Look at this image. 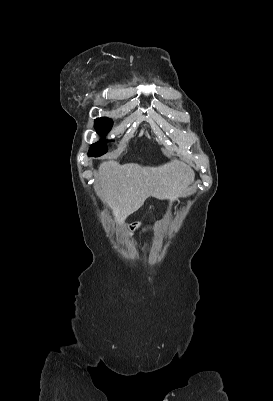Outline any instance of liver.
Instances as JSON below:
<instances>
[{
	"label": "liver",
	"instance_id": "1",
	"mask_svg": "<svg viewBox=\"0 0 273 401\" xmlns=\"http://www.w3.org/2000/svg\"><path fill=\"white\" fill-rule=\"evenodd\" d=\"M194 178L193 168L182 160H172L162 166L104 160L96 174L94 188L101 201L111 207L116 225L122 227L128 215L138 211L148 196L162 198V201L169 198L173 203L184 196Z\"/></svg>",
	"mask_w": 273,
	"mask_h": 401
}]
</instances>
